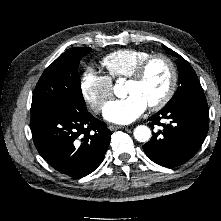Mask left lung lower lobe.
I'll list each match as a JSON object with an SVG mask.
<instances>
[{
    "instance_id": "obj_1",
    "label": "left lung lower lobe",
    "mask_w": 221,
    "mask_h": 221,
    "mask_svg": "<svg viewBox=\"0 0 221 221\" xmlns=\"http://www.w3.org/2000/svg\"><path fill=\"white\" fill-rule=\"evenodd\" d=\"M161 119L170 123L163 124ZM150 125L163 129L144 146L146 155L155 163L173 168L191 159L201 147L209 128L206 101H186L170 108H163L149 118Z\"/></svg>"
}]
</instances>
